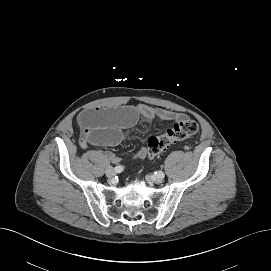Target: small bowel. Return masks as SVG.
Segmentation results:
<instances>
[{
  "label": "small bowel",
  "mask_w": 271,
  "mask_h": 271,
  "mask_svg": "<svg viewBox=\"0 0 271 271\" xmlns=\"http://www.w3.org/2000/svg\"><path fill=\"white\" fill-rule=\"evenodd\" d=\"M161 119L168 122H177L187 118L184 114L171 110L156 108L146 104L123 106L115 109H92L79 114L78 124L81 129L80 145L86 148L93 146H115L125 137V131L134 126L140 119ZM147 156V148H141L135 159ZM112 162H119V158L108 153Z\"/></svg>",
  "instance_id": "c3829d8e"
}]
</instances>
